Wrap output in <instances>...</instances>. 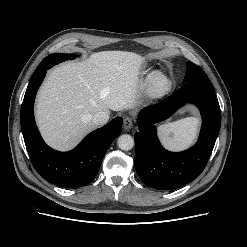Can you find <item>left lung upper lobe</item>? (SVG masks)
Returning a JSON list of instances; mask_svg holds the SVG:
<instances>
[{
    "label": "left lung upper lobe",
    "instance_id": "1",
    "mask_svg": "<svg viewBox=\"0 0 247 247\" xmlns=\"http://www.w3.org/2000/svg\"><path fill=\"white\" fill-rule=\"evenodd\" d=\"M186 67H187V71L185 74L184 82L186 83L199 82L206 85H212L205 72L199 66L188 61Z\"/></svg>",
    "mask_w": 247,
    "mask_h": 247
}]
</instances>
